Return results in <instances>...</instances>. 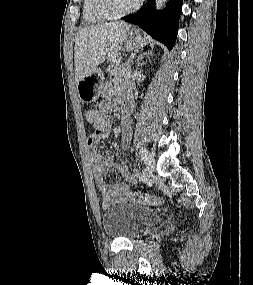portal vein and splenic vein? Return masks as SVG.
Masks as SVG:
<instances>
[{"label":"portal vein and splenic vein","instance_id":"1","mask_svg":"<svg viewBox=\"0 0 253 285\" xmlns=\"http://www.w3.org/2000/svg\"><path fill=\"white\" fill-rule=\"evenodd\" d=\"M124 77L125 78H130L131 77V71H127Z\"/></svg>","mask_w":253,"mask_h":285}]
</instances>
